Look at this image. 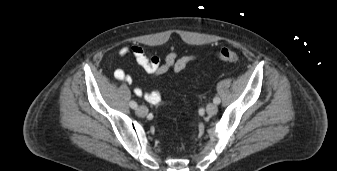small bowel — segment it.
Returning a JSON list of instances; mask_svg holds the SVG:
<instances>
[{"label": "small bowel", "mask_w": 337, "mask_h": 171, "mask_svg": "<svg viewBox=\"0 0 337 171\" xmlns=\"http://www.w3.org/2000/svg\"><path fill=\"white\" fill-rule=\"evenodd\" d=\"M118 56L123 58L127 56L133 57L136 62L152 77H157L172 70L174 74L182 72L186 66L197 60L200 55L197 53L188 54L179 57L175 51L169 52L163 61L157 54L148 55L145 50L136 44H131L119 50ZM114 77L120 82L131 84L132 76L123 68L118 67L114 70ZM134 93L139 97H144L148 102L155 104L161 100L160 92L153 90L144 92L142 88L136 87Z\"/></svg>", "instance_id": "c3829d8e"}]
</instances>
